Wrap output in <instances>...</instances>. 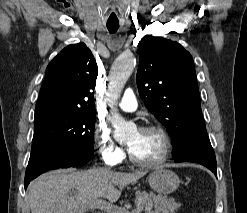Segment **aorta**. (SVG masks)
<instances>
[{
	"instance_id": "762f6f07",
	"label": "aorta",
	"mask_w": 247,
	"mask_h": 213,
	"mask_svg": "<svg viewBox=\"0 0 247 213\" xmlns=\"http://www.w3.org/2000/svg\"><path fill=\"white\" fill-rule=\"evenodd\" d=\"M135 62L136 60L131 53H123L117 58L111 68L106 100L112 107V115L109 117V120L115 129V133L126 134L134 128V124L126 122L117 113V110L113 108V105L116 104L125 83L132 74Z\"/></svg>"
}]
</instances>
